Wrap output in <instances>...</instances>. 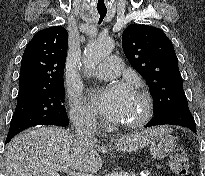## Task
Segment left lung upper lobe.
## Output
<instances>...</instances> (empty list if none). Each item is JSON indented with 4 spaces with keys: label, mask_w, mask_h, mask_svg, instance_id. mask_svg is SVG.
<instances>
[{
    "label": "left lung upper lobe",
    "mask_w": 205,
    "mask_h": 176,
    "mask_svg": "<svg viewBox=\"0 0 205 176\" xmlns=\"http://www.w3.org/2000/svg\"><path fill=\"white\" fill-rule=\"evenodd\" d=\"M122 46L132 67L146 80L154 99V116L187 100L172 42L158 28L129 25Z\"/></svg>",
    "instance_id": "1"
}]
</instances>
